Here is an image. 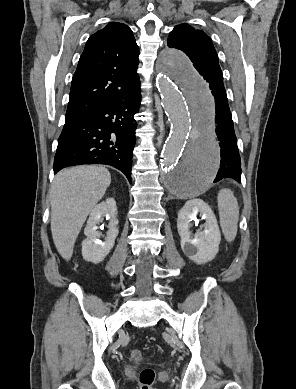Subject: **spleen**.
<instances>
[{
    "label": "spleen",
    "mask_w": 296,
    "mask_h": 389,
    "mask_svg": "<svg viewBox=\"0 0 296 389\" xmlns=\"http://www.w3.org/2000/svg\"><path fill=\"white\" fill-rule=\"evenodd\" d=\"M220 226L225 239L232 242L237 234L239 206L237 199L229 189H222L217 197Z\"/></svg>",
    "instance_id": "spleen-1"
}]
</instances>
